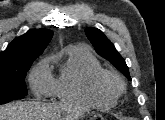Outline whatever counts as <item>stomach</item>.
Masks as SVG:
<instances>
[{"instance_id":"stomach-1","label":"stomach","mask_w":165,"mask_h":120,"mask_svg":"<svg viewBox=\"0 0 165 120\" xmlns=\"http://www.w3.org/2000/svg\"><path fill=\"white\" fill-rule=\"evenodd\" d=\"M98 117L103 119V117L100 114H98L96 112L89 111V112H85V113L81 114L79 117V120H84V119L85 120H88V119L92 120V119H96Z\"/></svg>"}]
</instances>
